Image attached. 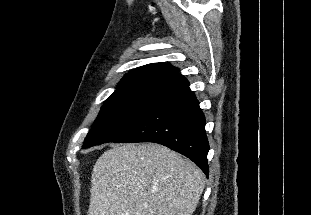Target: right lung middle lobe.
I'll use <instances>...</instances> for the list:
<instances>
[{
    "label": "right lung middle lobe",
    "mask_w": 311,
    "mask_h": 215,
    "mask_svg": "<svg viewBox=\"0 0 311 215\" xmlns=\"http://www.w3.org/2000/svg\"><path fill=\"white\" fill-rule=\"evenodd\" d=\"M168 87L136 85L117 88L101 107L83 148L111 142L122 136L160 101Z\"/></svg>",
    "instance_id": "dd1d6c3e"
}]
</instances>
